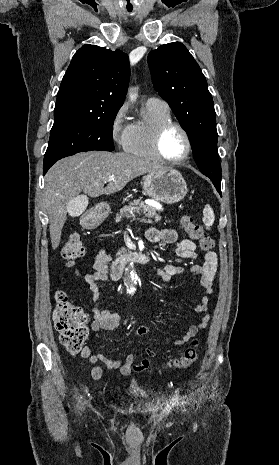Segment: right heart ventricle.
<instances>
[{
	"instance_id": "right-heart-ventricle-1",
	"label": "right heart ventricle",
	"mask_w": 279,
	"mask_h": 465,
	"mask_svg": "<svg viewBox=\"0 0 279 465\" xmlns=\"http://www.w3.org/2000/svg\"><path fill=\"white\" fill-rule=\"evenodd\" d=\"M172 121L169 107L146 104L141 118L132 124L131 135L125 151L136 158L160 160L153 149V137L162 123Z\"/></svg>"
}]
</instances>
